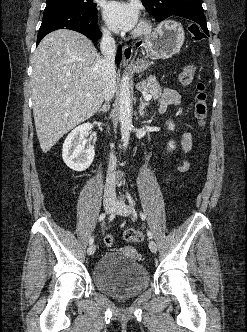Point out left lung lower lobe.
Returning a JSON list of instances; mask_svg holds the SVG:
<instances>
[{"label": "left lung lower lobe", "instance_id": "obj_1", "mask_svg": "<svg viewBox=\"0 0 247 332\" xmlns=\"http://www.w3.org/2000/svg\"><path fill=\"white\" fill-rule=\"evenodd\" d=\"M172 16H179L186 19H189L197 24L199 29H201L204 34V37L209 36V31L206 24V17L204 14H195V13H174ZM138 45V44H137Z\"/></svg>", "mask_w": 247, "mask_h": 332}]
</instances>
